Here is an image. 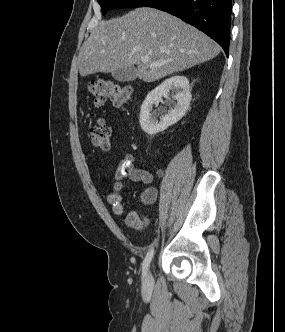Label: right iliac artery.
Segmentation results:
<instances>
[{"label": "right iliac artery", "mask_w": 285, "mask_h": 332, "mask_svg": "<svg viewBox=\"0 0 285 332\" xmlns=\"http://www.w3.org/2000/svg\"><path fill=\"white\" fill-rule=\"evenodd\" d=\"M154 255V249L151 248L148 252L147 255L142 263V276L145 277L147 275V271L150 265V262L153 258Z\"/></svg>", "instance_id": "obj_1"}]
</instances>
